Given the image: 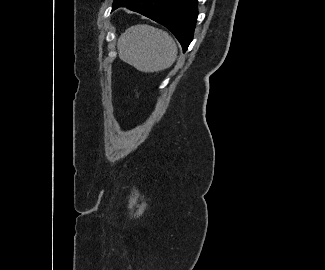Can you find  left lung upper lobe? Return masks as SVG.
Masks as SVG:
<instances>
[{"mask_svg":"<svg viewBox=\"0 0 325 270\" xmlns=\"http://www.w3.org/2000/svg\"><path fill=\"white\" fill-rule=\"evenodd\" d=\"M118 1H120V0H114V2H113V6H114Z\"/></svg>","mask_w":325,"mask_h":270,"instance_id":"5c2ea615","label":"left lung upper lobe"}]
</instances>
